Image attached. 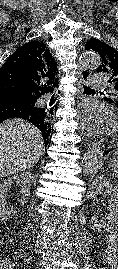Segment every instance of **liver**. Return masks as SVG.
<instances>
[{"mask_svg": "<svg viewBox=\"0 0 118 269\" xmlns=\"http://www.w3.org/2000/svg\"><path fill=\"white\" fill-rule=\"evenodd\" d=\"M43 152L41 132L31 123L12 119L0 124V177L31 168Z\"/></svg>", "mask_w": 118, "mask_h": 269, "instance_id": "obj_1", "label": "liver"}]
</instances>
